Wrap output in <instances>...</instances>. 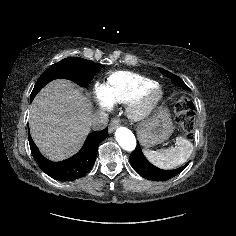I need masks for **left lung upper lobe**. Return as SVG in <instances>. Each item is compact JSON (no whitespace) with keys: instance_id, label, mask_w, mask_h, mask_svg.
<instances>
[{"instance_id":"obj_1","label":"left lung upper lobe","mask_w":236,"mask_h":236,"mask_svg":"<svg viewBox=\"0 0 236 236\" xmlns=\"http://www.w3.org/2000/svg\"><path fill=\"white\" fill-rule=\"evenodd\" d=\"M160 72L162 74H164L166 77L170 78L172 80L173 83H175L176 85H179L185 89H189V87L183 82V80L181 78H179L178 76L159 68Z\"/></svg>"}]
</instances>
